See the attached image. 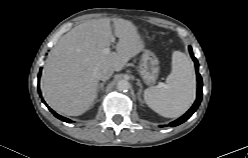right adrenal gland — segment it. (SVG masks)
Listing matches in <instances>:
<instances>
[{"label": "right adrenal gland", "mask_w": 248, "mask_h": 158, "mask_svg": "<svg viewBox=\"0 0 248 158\" xmlns=\"http://www.w3.org/2000/svg\"><path fill=\"white\" fill-rule=\"evenodd\" d=\"M105 83H106V81H103L102 83H100L99 85H98V88H97V93H99L100 92V90H104V85H105Z\"/></svg>", "instance_id": "obj_1"}]
</instances>
